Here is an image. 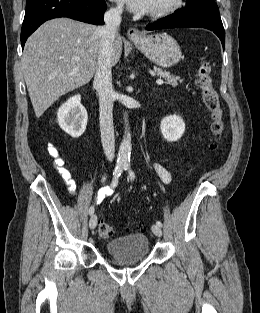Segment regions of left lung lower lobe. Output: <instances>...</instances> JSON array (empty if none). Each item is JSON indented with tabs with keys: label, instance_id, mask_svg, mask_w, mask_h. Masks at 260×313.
<instances>
[{
	"label": "left lung lower lobe",
	"instance_id": "obj_1",
	"mask_svg": "<svg viewBox=\"0 0 260 313\" xmlns=\"http://www.w3.org/2000/svg\"><path fill=\"white\" fill-rule=\"evenodd\" d=\"M179 27H200L213 31L225 46V31L221 20L209 17L181 15L178 13L166 16L160 22L147 25V30L179 28Z\"/></svg>",
	"mask_w": 260,
	"mask_h": 313
}]
</instances>
